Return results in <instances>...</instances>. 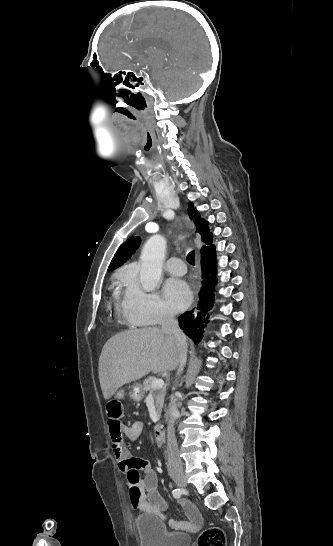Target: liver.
<instances>
[{"instance_id": "1", "label": "liver", "mask_w": 333, "mask_h": 546, "mask_svg": "<svg viewBox=\"0 0 333 546\" xmlns=\"http://www.w3.org/2000/svg\"><path fill=\"white\" fill-rule=\"evenodd\" d=\"M179 365L176 339L157 327L126 331L111 337L99 357V380L107 400L123 385L148 373L175 370Z\"/></svg>"}]
</instances>
